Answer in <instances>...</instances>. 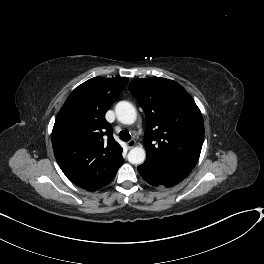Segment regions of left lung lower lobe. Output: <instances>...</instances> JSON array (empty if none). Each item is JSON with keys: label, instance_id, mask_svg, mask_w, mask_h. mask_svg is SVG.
Wrapping results in <instances>:
<instances>
[{"label": "left lung lower lobe", "instance_id": "left-lung-lower-lobe-1", "mask_svg": "<svg viewBox=\"0 0 264 264\" xmlns=\"http://www.w3.org/2000/svg\"><path fill=\"white\" fill-rule=\"evenodd\" d=\"M142 178L153 186L172 187L181 182L185 177L160 171L148 164L138 166Z\"/></svg>", "mask_w": 264, "mask_h": 264}]
</instances>
